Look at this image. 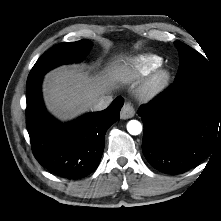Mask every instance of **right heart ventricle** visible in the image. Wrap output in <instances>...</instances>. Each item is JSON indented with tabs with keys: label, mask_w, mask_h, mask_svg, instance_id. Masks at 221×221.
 <instances>
[{
	"label": "right heart ventricle",
	"mask_w": 221,
	"mask_h": 221,
	"mask_svg": "<svg viewBox=\"0 0 221 221\" xmlns=\"http://www.w3.org/2000/svg\"><path fill=\"white\" fill-rule=\"evenodd\" d=\"M162 64V58L155 54H141L131 58L120 69L126 79H137L148 75Z\"/></svg>",
	"instance_id": "e07e8e85"
}]
</instances>
